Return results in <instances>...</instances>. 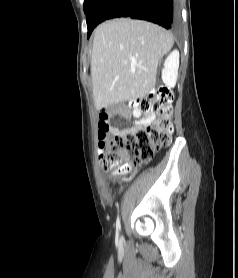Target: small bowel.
Returning a JSON list of instances; mask_svg holds the SVG:
<instances>
[{
    "label": "small bowel",
    "instance_id": "small-bowel-1",
    "mask_svg": "<svg viewBox=\"0 0 238 278\" xmlns=\"http://www.w3.org/2000/svg\"><path fill=\"white\" fill-rule=\"evenodd\" d=\"M110 113L106 110H102L100 112V115H99V122L100 121H105L107 124H109V119H110ZM132 116L134 118L137 119L135 125L133 128H131L130 130H134V129H138V128H144L146 127L147 125L151 124L154 120V115L152 114H149V113H146L144 114L141 110L139 109H134L133 112H132ZM98 122V123H99ZM118 132H121L120 129H118L117 127L115 126H112L109 124V130L107 131V133L105 134V138L107 137L108 134H111V135H114ZM99 136V134H98ZM100 139V138H99ZM101 141V139H100Z\"/></svg>",
    "mask_w": 238,
    "mask_h": 278
}]
</instances>
